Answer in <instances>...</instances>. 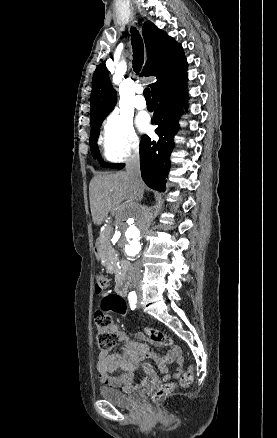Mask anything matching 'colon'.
<instances>
[{
	"mask_svg": "<svg viewBox=\"0 0 277 438\" xmlns=\"http://www.w3.org/2000/svg\"><path fill=\"white\" fill-rule=\"evenodd\" d=\"M95 295H102L105 290L109 287L110 281L107 277L101 273L97 272L95 274ZM112 322L111 316L106 312L97 311L94 315V323L99 331L96 334V343L100 351H111L118 343V335L107 330ZM144 334H146L149 339L155 344L172 345L173 340L164 335L161 331L156 329H146ZM193 382L192 371H187L180 376L179 385L181 387H188ZM178 387V382L176 380H167L165 386L161 389H150L149 396L153 402H161L165 396L169 395L173 389Z\"/></svg>",
	"mask_w": 277,
	"mask_h": 438,
	"instance_id": "obj_1",
	"label": "colon"
}]
</instances>
